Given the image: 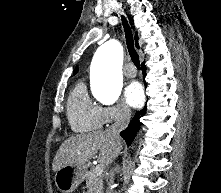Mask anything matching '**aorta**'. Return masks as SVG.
<instances>
[{
	"mask_svg": "<svg viewBox=\"0 0 221 193\" xmlns=\"http://www.w3.org/2000/svg\"><path fill=\"white\" fill-rule=\"evenodd\" d=\"M122 61L123 49L117 41L103 44L94 55L93 95L104 104H112L120 96Z\"/></svg>",
	"mask_w": 221,
	"mask_h": 193,
	"instance_id": "aorta-1",
	"label": "aorta"
}]
</instances>
